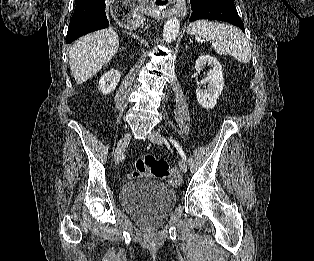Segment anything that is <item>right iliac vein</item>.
I'll return each instance as SVG.
<instances>
[{"instance_id": "63e3f726", "label": "right iliac vein", "mask_w": 314, "mask_h": 261, "mask_svg": "<svg viewBox=\"0 0 314 261\" xmlns=\"http://www.w3.org/2000/svg\"><path fill=\"white\" fill-rule=\"evenodd\" d=\"M131 138L130 133H125L119 140L116 150H115V154H114V161L116 164H119L121 159H122V155L123 152L127 146V144L129 143Z\"/></svg>"}]
</instances>
